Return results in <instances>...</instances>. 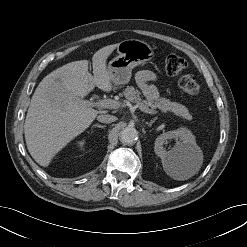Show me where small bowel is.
I'll list each match as a JSON object with an SVG mask.
<instances>
[{"label": "small bowel", "instance_id": "c3829d8e", "mask_svg": "<svg viewBox=\"0 0 247 247\" xmlns=\"http://www.w3.org/2000/svg\"><path fill=\"white\" fill-rule=\"evenodd\" d=\"M136 84L143 95L150 101L158 97V91L150 82L157 80V75L151 70H142L136 74Z\"/></svg>", "mask_w": 247, "mask_h": 247}]
</instances>
